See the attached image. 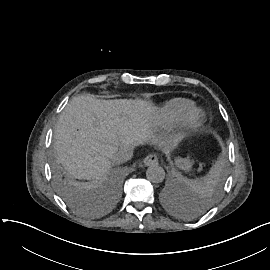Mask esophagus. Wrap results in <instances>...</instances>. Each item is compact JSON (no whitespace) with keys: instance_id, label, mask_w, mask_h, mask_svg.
I'll use <instances>...</instances> for the list:
<instances>
[{"instance_id":"1","label":"esophagus","mask_w":270,"mask_h":270,"mask_svg":"<svg viewBox=\"0 0 270 270\" xmlns=\"http://www.w3.org/2000/svg\"><path fill=\"white\" fill-rule=\"evenodd\" d=\"M158 161H159L158 157L156 155H153V154L146 156L143 160V162L146 166L157 165Z\"/></svg>"}]
</instances>
